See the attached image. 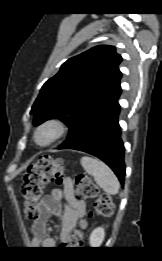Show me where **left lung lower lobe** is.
<instances>
[{"instance_id":"0a47b994","label":"left lung lower lobe","mask_w":162,"mask_h":261,"mask_svg":"<svg viewBox=\"0 0 162 261\" xmlns=\"http://www.w3.org/2000/svg\"><path fill=\"white\" fill-rule=\"evenodd\" d=\"M121 92L104 105L74 132L57 149H74L94 155L104 161L124 184V143L118 123Z\"/></svg>"}]
</instances>
